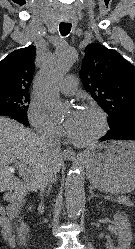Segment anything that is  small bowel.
<instances>
[{
  "label": "small bowel",
  "instance_id": "1",
  "mask_svg": "<svg viewBox=\"0 0 135 249\" xmlns=\"http://www.w3.org/2000/svg\"><path fill=\"white\" fill-rule=\"evenodd\" d=\"M14 210L12 207L7 209L0 206V230L3 238L15 248L16 242L14 238V226L12 223Z\"/></svg>",
  "mask_w": 135,
  "mask_h": 249
}]
</instances>
